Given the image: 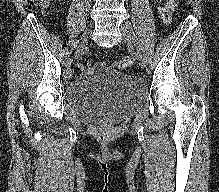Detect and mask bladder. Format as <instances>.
<instances>
[{
    "label": "bladder",
    "instance_id": "bladder-1",
    "mask_svg": "<svg viewBox=\"0 0 219 192\" xmlns=\"http://www.w3.org/2000/svg\"><path fill=\"white\" fill-rule=\"evenodd\" d=\"M67 105L90 122H117L146 99L141 81L106 66L85 71L65 88Z\"/></svg>",
    "mask_w": 219,
    "mask_h": 192
}]
</instances>
